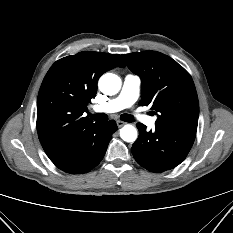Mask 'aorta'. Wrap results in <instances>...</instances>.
Segmentation results:
<instances>
[{"label":"aorta","instance_id":"obj_1","mask_svg":"<svg viewBox=\"0 0 233 233\" xmlns=\"http://www.w3.org/2000/svg\"><path fill=\"white\" fill-rule=\"evenodd\" d=\"M98 85L102 93L115 95L121 88V79L113 73H106L100 77ZM137 136V130L132 125H125L120 129V137L126 142H134Z\"/></svg>","mask_w":233,"mask_h":233}]
</instances>
